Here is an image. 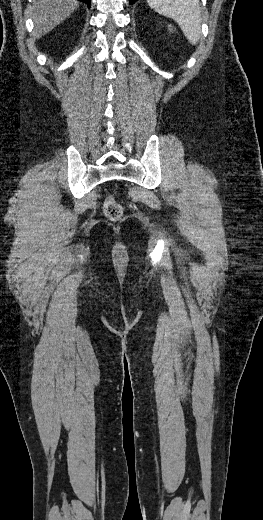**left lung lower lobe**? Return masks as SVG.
<instances>
[{"label": "left lung lower lobe", "mask_w": 263, "mask_h": 520, "mask_svg": "<svg viewBox=\"0 0 263 520\" xmlns=\"http://www.w3.org/2000/svg\"><path fill=\"white\" fill-rule=\"evenodd\" d=\"M130 1V4H133L135 3L137 0H129Z\"/></svg>", "instance_id": "1"}]
</instances>
